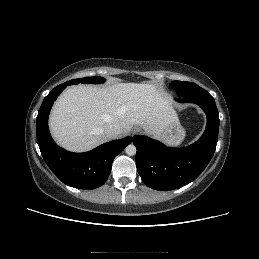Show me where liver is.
<instances>
[{
  "instance_id": "obj_1",
  "label": "liver",
  "mask_w": 259,
  "mask_h": 259,
  "mask_svg": "<svg viewBox=\"0 0 259 259\" xmlns=\"http://www.w3.org/2000/svg\"><path fill=\"white\" fill-rule=\"evenodd\" d=\"M176 118L171 98L152 84L75 85L55 102L49 126L61 147L84 152L110 140L104 131L111 124L121 127L119 137L137 125L158 138Z\"/></svg>"
}]
</instances>
